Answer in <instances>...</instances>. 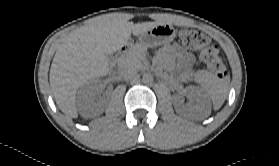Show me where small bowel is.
<instances>
[{
	"instance_id": "small-bowel-1",
	"label": "small bowel",
	"mask_w": 279,
	"mask_h": 166,
	"mask_svg": "<svg viewBox=\"0 0 279 166\" xmlns=\"http://www.w3.org/2000/svg\"><path fill=\"white\" fill-rule=\"evenodd\" d=\"M163 53L165 54H170L174 57H177L179 59H181L185 65L189 66L193 63V57L186 53L179 44H173L167 48H165V50L163 51Z\"/></svg>"
}]
</instances>
